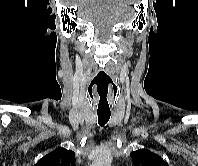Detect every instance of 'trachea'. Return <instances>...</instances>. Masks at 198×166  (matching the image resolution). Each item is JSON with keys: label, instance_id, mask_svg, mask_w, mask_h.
Listing matches in <instances>:
<instances>
[{"label": "trachea", "instance_id": "3493384b", "mask_svg": "<svg viewBox=\"0 0 198 166\" xmlns=\"http://www.w3.org/2000/svg\"><path fill=\"white\" fill-rule=\"evenodd\" d=\"M98 123L100 126H104L110 119V113H97Z\"/></svg>", "mask_w": 198, "mask_h": 166}]
</instances>
